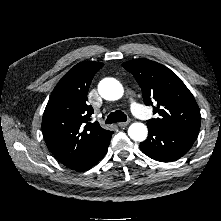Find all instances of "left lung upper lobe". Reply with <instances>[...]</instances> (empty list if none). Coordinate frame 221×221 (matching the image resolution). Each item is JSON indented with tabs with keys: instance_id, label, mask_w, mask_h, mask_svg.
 Instances as JSON below:
<instances>
[{
	"instance_id": "left-lung-upper-lobe-1",
	"label": "left lung upper lobe",
	"mask_w": 221,
	"mask_h": 221,
	"mask_svg": "<svg viewBox=\"0 0 221 221\" xmlns=\"http://www.w3.org/2000/svg\"><path fill=\"white\" fill-rule=\"evenodd\" d=\"M122 66L133 74L140 85L143 100L153 107L159 118L150 119L148 125L181 132L198 133L201 123L199 107L185 84L167 67L148 60L134 59Z\"/></svg>"
}]
</instances>
